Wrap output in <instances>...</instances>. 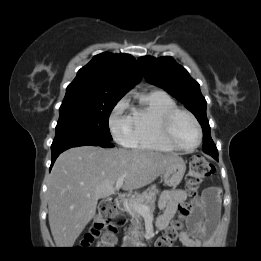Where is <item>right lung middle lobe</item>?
Here are the masks:
<instances>
[{
	"instance_id": "dd1d6c3e",
	"label": "right lung middle lobe",
	"mask_w": 261,
	"mask_h": 261,
	"mask_svg": "<svg viewBox=\"0 0 261 261\" xmlns=\"http://www.w3.org/2000/svg\"><path fill=\"white\" fill-rule=\"evenodd\" d=\"M121 96L65 97L54 141L91 136L112 140L108 119Z\"/></svg>"
}]
</instances>
